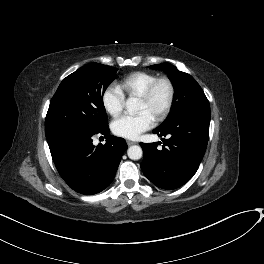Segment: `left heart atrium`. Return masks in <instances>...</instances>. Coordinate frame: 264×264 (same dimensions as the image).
<instances>
[{
  "instance_id": "39dd6f15",
  "label": "left heart atrium",
  "mask_w": 264,
  "mask_h": 264,
  "mask_svg": "<svg viewBox=\"0 0 264 264\" xmlns=\"http://www.w3.org/2000/svg\"><path fill=\"white\" fill-rule=\"evenodd\" d=\"M154 125V118L148 112L124 115L112 123V131L117 136L135 139Z\"/></svg>"
}]
</instances>
